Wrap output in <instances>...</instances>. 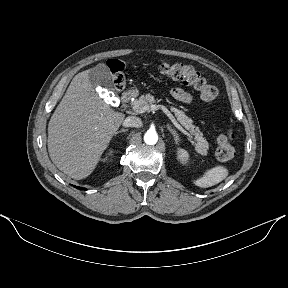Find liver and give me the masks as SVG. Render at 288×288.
<instances>
[{
    "instance_id": "1",
    "label": "liver",
    "mask_w": 288,
    "mask_h": 288,
    "mask_svg": "<svg viewBox=\"0 0 288 288\" xmlns=\"http://www.w3.org/2000/svg\"><path fill=\"white\" fill-rule=\"evenodd\" d=\"M89 70L78 73L48 124V151L59 170L80 180L88 177L125 115L95 92Z\"/></svg>"
}]
</instances>
